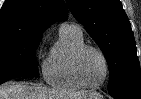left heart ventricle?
Returning <instances> with one entry per match:
<instances>
[{
  "label": "left heart ventricle",
  "instance_id": "left-heart-ventricle-1",
  "mask_svg": "<svg viewBox=\"0 0 141 99\" xmlns=\"http://www.w3.org/2000/svg\"><path fill=\"white\" fill-rule=\"evenodd\" d=\"M81 73L88 84L100 83L105 74L104 62L101 56L94 51H87L81 60Z\"/></svg>",
  "mask_w": 141,
  "mask_h": 99
}]
</instances>
